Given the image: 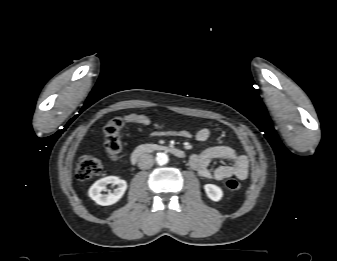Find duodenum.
<instances>
[{"instance_id": "410a0bca", "label": "duodenum", "mask_w": 337, "mask_h": 261, "mask_svg": "<svg viewBox=\"0 0 337 261\" xmlns=\"http://www.w3.org/2000/svg\"><path fill=\"white\" fill-rule=\"evenodd\" d=\"M155 152H164L172 154L178 158H184L185 153L183 150L171 146V145H164V144H143L139 147H137L130 157V162L132 164H136L139 160H141L144 156L150 153Z\"/></svg>"}]
</instances>
